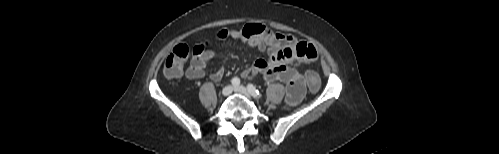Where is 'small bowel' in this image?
<instances>
[{"instance_id": "obj_1", "label": "small bowel", "mask_w": 499, "mask_h": 154, "mask_svg": "<svg viewBox=\"0 0 499 154\" xmlns=\"http://www.w3.org/2000/svg\"><path fill=\"white\" fill-rule=\"evenodd\" d=\"M227 39L237 40L268 53V59L256 60L250 68L242 71L244 78L260 75L269 82H283L286 84V102L290 106L300 103L305 94L306 84L302 74L290 65L316 61L318 58L316 48L308 42L297 40L293 35L274 33L259 23L247 24L233 30H222L217 33L214 42L196 45L185 73L186 77L199 79L208 76L212 81L219 82L224 75V68L208 71L207 66L215 56V51L211 48L212 44Z\"/></svg>"}]
</instances>
